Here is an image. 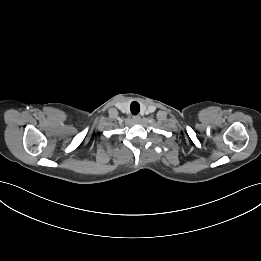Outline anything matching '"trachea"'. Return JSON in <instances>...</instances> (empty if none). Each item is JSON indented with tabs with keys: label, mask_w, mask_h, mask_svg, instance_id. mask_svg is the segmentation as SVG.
<instances>
[{
	"label": "trachea",
	"mask_w": 261,
	"mask_h": 261,
	"mask_svg": "<svg viewBox=\"0 0 261 261\" xmlns=\"http://www.w3.org/2000/svg\"><path fill=\"white\" fill-rule=\"evenodd\" d=\"M130 110L133 115H137L140 111V105L138 102L133 101L130 105Z\"/></svg>",
	"instance_id": "1"
}]
</instances>
